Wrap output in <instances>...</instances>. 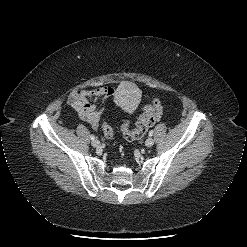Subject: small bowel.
<instances>
[{
    "label": "small bowel",
    "instance_id": "c3829d8e",
    "mask_svg": "<svg viewBox=\"0 0 247 247\" xmlns=\"http://www.w3.org/2000/svg\"><path fill=\"white\" fill-rule=\"evenodd\" d=\"M116 93L117 89L113 86L80 89L70 94L68 103L83 121L89 123L93 128H97L100 122V104L115 97Z\"/></svg>",
    "mask_w": 247,
    "mask_h": 247
}]
</instances>
